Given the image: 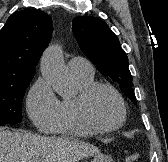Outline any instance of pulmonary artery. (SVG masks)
<instances>
[{
    "mask_svg": "<svg viewBox=\"0 0 168 162\" xmlns=\"http://www.w3.org/2000/svg\"><path fill=\"white\" fill-rule=\"evenodd\" d=\"M68 67L73 76L90 78L94 75L91 63L82 57H73L68 62Z\"/></svg>",
    "mask_w": 168,
    "mask_h": 162,
    "instance_id": "e3ab8cb5",
    "label": "pulmonary artery"
}]
</instances>
